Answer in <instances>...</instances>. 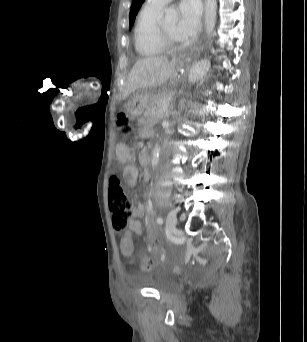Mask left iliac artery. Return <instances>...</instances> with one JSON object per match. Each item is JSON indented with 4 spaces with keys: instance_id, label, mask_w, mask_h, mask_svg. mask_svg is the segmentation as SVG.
<instances>
[{
    "instance_id": "1",
    "label": "left iliac artery",
    "mask_w": 307,
    "mask_h": 342,
    "mask_svg": "<svg viewBox=\"0 0 307 342\" xmlns=\"http://www.w3.org/2000/svg\"><path fill=\"white\" fill-rule=\"evenodd\" d=\"M157 223H158V224H162V223H163V219H162L161 217H158V218H157Z\"/></svg>"
}]
</instances>
